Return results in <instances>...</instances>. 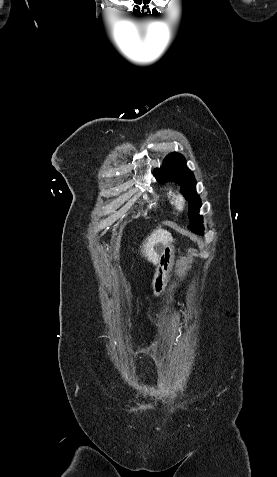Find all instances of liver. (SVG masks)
Masks as SVG:
<instances>
[{
    "instance_id": "1",
    "label": "liver",
    "mask_w": 277,
    "mask_h": 477,
    "mask_svg": "<svg viewBox=\"0 0 277 477\" xmlns=\"http://www.w3.org/2000/svg\"><path fill=\"white\" fill-rule=\"evenodd\" d=\"M172 240L173 238L171 234L167 230L159 227L155 229L143 242L141 252L148 261L156 265L158 264L160 254L154 250V246L158 243H161L164 247L171 243Z\"/></svg>"
}]
</instances>
